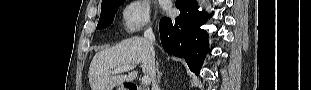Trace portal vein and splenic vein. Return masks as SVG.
I'll list each match as a JSON object with an SVG mask.
<instances>
[{
    "label": "portal vein and splenic vein",
    "mask_w": 311,
    "mask_h": 90,
    "mask_svg": "<svg viewBox=\"0 0 311 90\" xmlns=\"http://www.w3.org/2000/svg\"><path fill=\"white\" fill-rule=\"evenodd\" d=\"M134 68H135V66H133V65H127V66H123L121 68L114 69L112 71V73L116 74V73H121V72H125V71H130V70H133ZM142 82L145 85H149L151 83V78L149 76H143Z\"/></svg>",
    "instance_id": "obj_1"
}]
</instances>
